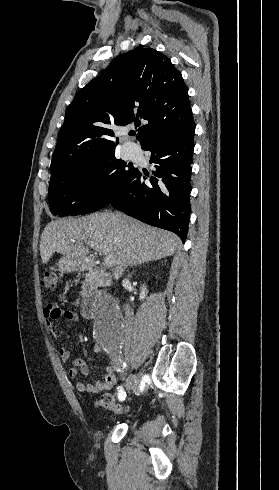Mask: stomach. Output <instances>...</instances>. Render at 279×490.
<instances>
[{
  "instance_id": "obj_1",
  "label": "stomach",
  "mask_w": 279,
  "mask_h": 490,
  "mask_svg": "<svg viewBox=\"0 0 279 490\" xmlns=\"http://www.w3.org/2000/svg\"><path fill=\"white\" fill-rule=\"evenodd\" d=\"M58 270L64 272V274H71V272H81L83 262H78V260H73V258H60L58 264Z\"/></svg>"
}]
</instances>
